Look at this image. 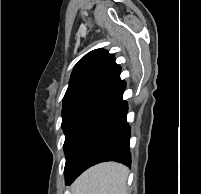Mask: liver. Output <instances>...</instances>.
Segmentation results:
<instances>
[{"instance_id": "obj_1", "label": "liver", "mask_w": 201, "mask_h": 194, "mask_svg": "<svg viewBox=\"0 0 201 194\" xmlns=\"http://www.w3.org/2000/svg\"><path fill=\"white\" fill-rule=\"evenodd\" d=\"M128 168L116 162L93 166L72 184V194H127Z\"/></svg>"}]
</instances>
